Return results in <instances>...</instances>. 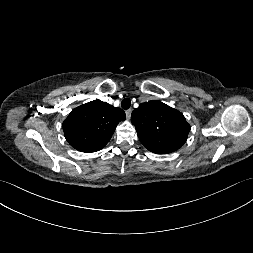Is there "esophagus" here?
<instances>
[{
	"mask_svg": "<svg viewBox=\"0 0 253 253\" xmlns=\"http://www.w3.org/2000/svg\"><path fill=\"white\" fill-rule=\"evenodd\" d=\"M131 112H132L131 109L126 110V117H127V119H130V117H131Z\"/></svg>",
	"mask_w": 253,
	"mask_h": 253,
	"instance_id": "34e87169",
	"label": "esophagus"
}]
</instances>
